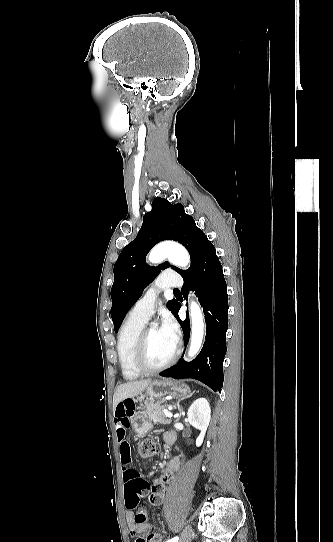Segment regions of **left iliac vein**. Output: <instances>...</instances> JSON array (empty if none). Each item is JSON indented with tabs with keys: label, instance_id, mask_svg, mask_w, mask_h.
Listing matches in <instances>:
<instances>
[{
	"label": "left iliac vein",
	"instance_id": "1",
	"mask_svg": "<svg viewBox=\"0 0 333 542\" xmlns=\"http://www.w3.org/2000/svg\"><path fill=\"white\" fill-rule=\"evenodd\" d=\"M191 537H192V529L190 528V526H186L180 542H190Z\"/></svg>",
	"mask_w": 333,
	"mask_h": 542
}]
</instances>
